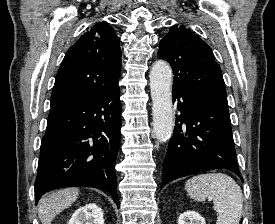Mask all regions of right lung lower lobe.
<instances>
[{"instance_id": "98d812e1", "label": "right lung lower lobe", "mask_w": 275, "mask_h": 224, "mask_svg": "<svg viewBox=\"0 0 275 224\" xmlns=\"http://www.w3.org/2000/svg\"><path fill=\"white\" fill-rule=\"evenodd\" d=\"M119 86L101 95L52 107L41 141L35 201L62 187L106 190L117 207L115 162L120 145Z\"/></svg>"}]
</instances>
